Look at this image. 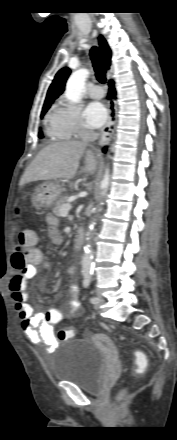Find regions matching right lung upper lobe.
Returning <instances> with one entry per match:
<instances>
[{
  "label": "right lung upper lobe",
  "instance_id": "right-lung-upper-lobe-1",
  "mask_svg": "<svg viewBox=\"0 0 177 440\" xmlns=\"http://www.w3.org/2000/svg\"><path fill=\"white\" fill-rule=\"evenodd\" d=\"M98 40H99V45H100V51H101L102 56L104 57L106 67L109 68L110 62H111V50H110L106 40L103 38V36H100L98 38ZM70 73H71V71L67 67L62 68L61 70H59L57 72L52 84L50 85V87L48 89L45 103H47V102L53 103V101L56 98H58L59 95L62 94V92L64 91L66 80H67L68 76L70 75Z\"/></svg>",
  "mask_w": 177,
  "mask_h": 440
}]
</instances>
